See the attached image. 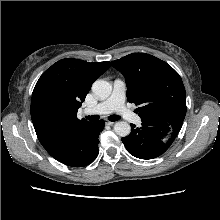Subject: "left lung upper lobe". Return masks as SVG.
Returning a JSON list of instances; mask_svg holds the SVG:
<instances>
[{
  "label": "left lung upper lobe",
  "instance_id": "5c2ea615",
  "mask_svg": "<svg viewBox=\"0 0 220 220\" xmlns=\"http://www.w3.org/2000/svg\"><path fill=\"white\" fill-rule=\"evenodd\" d=\"M126 78L127 99L142 121L163 120L179 132L186 115V92L179 74L166 62L146 53L111 62Z\"/></svg>",
  "mask_w": 220,
  "mask_h": 220
}]
</instances>
